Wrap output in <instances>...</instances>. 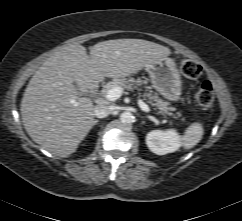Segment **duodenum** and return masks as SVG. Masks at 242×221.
<instances>
[{
	"mask_svg": "<svg viewBox=\"0 0 242 221\" xmlns=\"http://www.w3.org/2000/svg\"><path fill=\"white\" fill-rule=\"evenodd\" d=\"M96 87H94L92 90H91V93L93 94V93H95L96 92Z\"/></svg>",
	"mask_w": 242,
	"mask_h": 221,
	"instance_id": "obj_1",
	"label": "duodenum"
}]
</instances>
